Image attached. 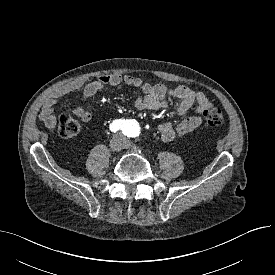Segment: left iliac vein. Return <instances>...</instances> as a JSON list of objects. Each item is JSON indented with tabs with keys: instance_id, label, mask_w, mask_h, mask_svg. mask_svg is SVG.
Here are the masks:
<instances>
[{
	"instance_id": "left-iliac-vein-1",
	"label": "left iliac vein",
	"mask_w": 275,
	"mask_h": 275,
	"mask_svg": "<svg viewBox=\"0 0 275 275\" xmlns=\"http://www.w3.org/2000/svg\"><path fill=\"white\" fill-rule=\"evenodd\" d=\"M124 148L137 149L138 147L136 145H134L133 143H131V142L124 141Z\"/></svg>"
}]
</instances>
